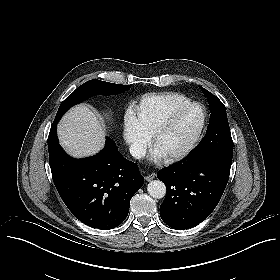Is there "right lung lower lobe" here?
<instances>
[{
  "mask_svg": "<svg viewBox=\"0 0 280 280\" xmlns=\"http://www.w3.org/2000/svg\"><path fill=\"white\" fill-rule=\"evenodd\" d=\"M57 122L51 125L48 151L53 182L62 200L88 226L105 230L119 226L128 215L132 196L144 183L137 164L125 159L111 138L93 157H69L58 143Z\"/></svg>",
  "mask_w": 280,
  "mask_h": 280,
  "instance_id": "98d812e1",
  "label": "right lung lower lobe"
}]
</instances>
